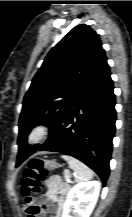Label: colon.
<instances>
[{
	"instance_id": "1",
	"label": "colon",
	"mask_w": 132,
	"mask_h": 217,
	"mask_svg": "<svg viewBox=\"0 0 132 217\" xmlns=\"http://www.w3.org/2000/svg\"><path fill=\"white\" fill-rule=\"evenodd\" d=\"M54 168H56V163L54 161L41 157L33 158L24 171L22 179L23 194L29 195L30 193H37L42 181L50 174ZM40 212L41 209L39 207L33 206L29 208L27 217H37Z\"/></svg>"
}]
</instances>
